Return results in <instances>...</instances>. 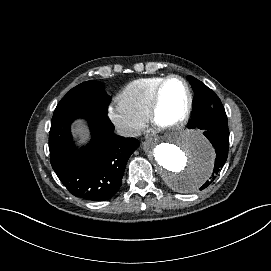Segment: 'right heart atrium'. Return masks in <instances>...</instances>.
Segmentation results:
<instances>
[{
	"label": "right heart atrium",
	"instance_id": "right-heart-atrium-1",
	"mask_svg": "<svg viewBox=\"0 0 271 271\" xmlns=\"http://www.w3.org/2000/svg\"><path fill=\"white\" fill-rule=\"evenodd\" d=\"M110 120L116 126H124L128 137H136L145 128V120L133 114L120 97L114 98L107 108Z\"/></svg>",
	"mask_w": 271,
	"mask_h": 271
}]
</instances>
